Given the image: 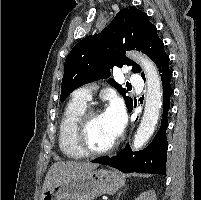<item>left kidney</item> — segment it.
<instances>
[{"mask_svg":"<svg viewBox=\"0 0 201 200\" xmlns=\"http://www.w3.org/2000/svg\"><path fill=\"white\" fill-rule=\"evenodd\" d=\"M135 200H157L156 193L153 189H151V190H148V191H145L144 193H142Z\"/></svg>","mask_w":201,"mask_h":200,"instance_id":"left-kidney-1","label":"left kidney"}]
</instances>
